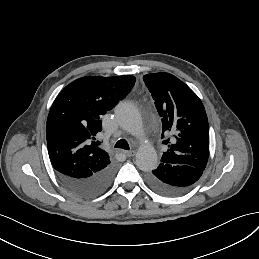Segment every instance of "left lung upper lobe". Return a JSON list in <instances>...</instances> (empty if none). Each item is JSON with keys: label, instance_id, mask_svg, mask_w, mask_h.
Listing matches in <instances>:
<instances>
[{"label": "left lung upper lobe", "instance_id": "obj_1", "mask_svg": "<svg viewBox=\"0 0 259 259\" xmlns=\"http://www.w3.org/2000/svg\"><path fill=\"white\" fill-rule=\"evenodd\" d=\"M162 121V134L175 133L162 143L168 145L161 163L188 165L204 171L209 157V124L199 97L169 73L143 76Z\"/></svg>", "mask_w": 259, "mask_h": 259}]
</instances>
